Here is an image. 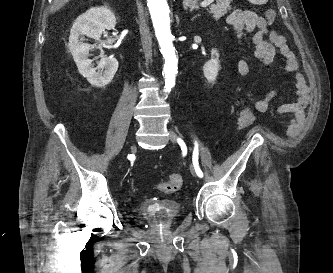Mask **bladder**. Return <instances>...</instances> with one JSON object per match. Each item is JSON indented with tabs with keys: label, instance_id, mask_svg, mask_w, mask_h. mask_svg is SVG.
Wrapping results in <instances>:
<instances>
[{
	"label": "bladder",
	"instance_id": "1",
	"mask_svg": "<svg viewBox=\"0 0 333 273\" xmlns=\"http://www.w3.org/2000/svg\"><path fill=\"white\" fill-rule=\"evenodd\" d=\"M138 211L154 226L169 227L179 217L180 205L174 200L165 199L157 203H142L138 206Z\"/></svg>",
	"mask_w": 333,
	"mask_h": 273
}]
</instances>
